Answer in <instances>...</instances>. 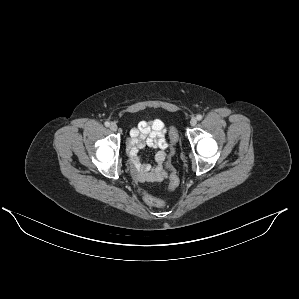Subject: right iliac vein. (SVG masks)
I'll list each match as a JSON object with an SVG mask.
<instances>
[{
    "instance_id": "1",
    "label": "right iliac vein",
    "mask_w": 299,
    "mask_h": 299,
    "mask_svg": "<svg viewBox=\"0 0 299 299\" xmlns=\"http://www.w3.org/2000/svg\"><path fill=\"white\" fill-rule=\"evenodd\" d=\"M110 129H111L112 131H117L118 127H117V125H116L115 123H111V125H110Z\"/></svg>"
}]
</instances>
